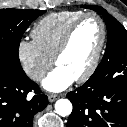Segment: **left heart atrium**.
<instances>
[{"instance_id":"left-heart-atrium-1","label":"left heart atrium","mask_w":127,"mask_h":127,"mask_svg":"<svg viewBox=\"0 0 127 127\" xmlns=\"http://www.w3.org/2000/svg\"><path fill=\"white\" fill-rule=\"evenodd\" d=\"M75 78L62 67L57 66L43 80L42 86L50 92H60L69 87Z\"/></svg>"}]
</instances>
